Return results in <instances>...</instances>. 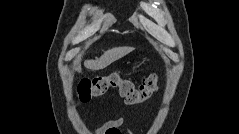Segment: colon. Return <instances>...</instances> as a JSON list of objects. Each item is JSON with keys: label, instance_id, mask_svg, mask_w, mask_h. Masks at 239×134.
Here are the masks:
<instances>
[{"label": "colon", "instance_id": "colon-1", "mask_svg": "<svg viewBox=\"0 0 239 134\" xmlns=\"http://www.w3.org/2000/svg\"><path fill=\"white\" fill-rule=\"evenodd\" d=\"M157 85L156 75H150L137 87L131 79L114 71L107 75L82 78L77 88V100L80 103H87L109 90H116L128 104H140L151 98L157 90Z\"/></svg>", "mask_w": 239, "mask_h": 134}]
</instances>
